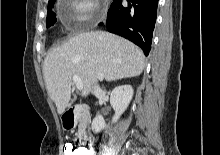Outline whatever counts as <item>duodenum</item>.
<instances>
[{"mask_svg":"<svg viewBox=\"0 0 220 155\" xmlns=\"http://www.w3.org/2000/svg\"><path fill=\"white\" fill-rule=\"evenodd\" d=\"M87 111V107L84 105H77L68 109L63 116V121L69 126H73L76 119ZM81 144L88 146L91 143V137L87 134H83L80 138Z\"/></svg>","mask_w":220,"mask_h":155,"instance_id":"1","label":"duodenum"}]
</instances>
